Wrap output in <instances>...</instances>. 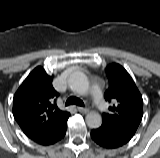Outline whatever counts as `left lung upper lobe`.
Segmentation results:
<instances>
[{
  "label": "left lung upper lobe",
  "mask_w": 160,
  "mask_h": 158,
  "mask_svg": "<svg viewBox=\"0 0 160 158\" xmlns=\"http://www.w3.org/2000/svg\"><path fill=\"white\" fill-rule=\"evenodd\" d=\"M109 87L104 94L110 104L109 111L103 113V123L133 136L143 116V100L133 79L119 64L106 68Z\"/></svg>",
  "instance_id": "1"
}]
</instances>
